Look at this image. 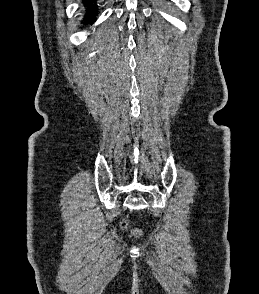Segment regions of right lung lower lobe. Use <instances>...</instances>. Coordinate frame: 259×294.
Masks as SVG:
<instances>
[{
	"label": "right lung lower lobe",
	"mask_w": 259,
	"mask_h": 294,
	"mask_svg": "<svg viewBox=\"0 0 259 294\" xmlns=\"http://www.w3.org/2000/svg\"><path fill=\"white\" fill-rule=\"evenodd\" d=\"M97 0H84L85 5V15H84V24H91L96 20L98 15V9L96 5Z\"/></svg>",
	"instance_id": "right-lung-lower-lobe-1"
}]
</instances>
